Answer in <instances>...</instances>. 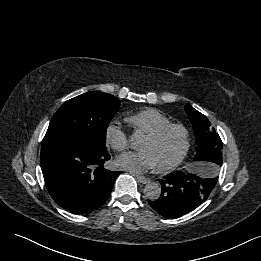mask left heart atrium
I'll return each mask as SVG.
<instances>
[{
  "label": "left heart atrium",
  "instance_id": "1",
  "mask_svg": "<svg viewBox=\"0 0 261 261\" xmlns=\"http://www.w3.org/2000/svg\"><path fill=\"white\" fill-rule=\"evenodd\" d=\"M116 164L132 173H143L157 167L153 155L148 151L128 152L119 156Z\"/></svg>",
  "mask_w": 261,
  "mask_h": 261
}]
</instances>
